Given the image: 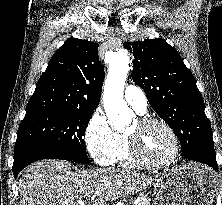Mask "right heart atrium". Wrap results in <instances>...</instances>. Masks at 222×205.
<instances>
[{"label": "right heart atrium", "instance_id": "right-heart-atrium-1", "mask_svg": "<svg viewBox=\"0 0 222 205\" xmlns=\"http://www.w3.org/2000/svg\"><path fill=\"white\" fill-rule=\"evenodd\" d=\"M118 137L105 114L100 110L95 111L85 128L84 139L97 164L108 165L117 148Z\"/></svg>", "mask_w": 222, "mask_h": 205}]
</instances>
